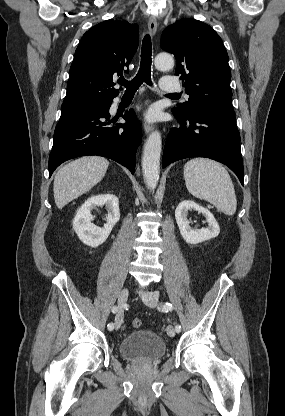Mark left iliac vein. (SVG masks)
Wrapping results in <instances>:
<instances>
[{
	"label": "left iliac vein",
	"mask_w": 285,
	"mask_h": 416,
	"mask_svg": "<svg viewBox=\"0 0 285 416\" xmlns=\"http://www.w3.org/2000/svg\"><path fill=\"white\" fill-rule=\"evenodd\" d=\"M142 300L143 302L149 306L150 308H155L158 305V296L156 293L147 291L146 293L142 294ZM177 331L174 330L173 326L169 325L167 327V334L169 337H174L176 335Z\"/></svg>",
	"instance_id": "obj_1"
}]
</instances>
